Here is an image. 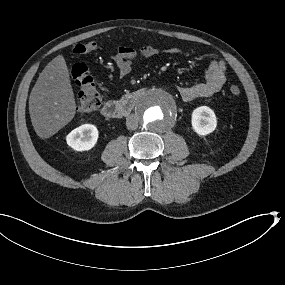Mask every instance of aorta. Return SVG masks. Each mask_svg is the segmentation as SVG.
<instances>
[{
	"label": "aorta",
	"mask_w": 285,
	"mask_h": 285,
	"mask_svg": "<svg viewBox=\"0 0 285 285\" xmlns=\"http://www.w3.org/2000/svg\"><path fill=\"white\" fill-rule=\"evenodd\" d=\"M135 115L139 125L144 130L161 134L171 130L176 125L180 108L176 98L171 93L154 89L144 93L139 98Z\"/></svg>",
	"instance_id": "obj_1"
}]
</instances>
